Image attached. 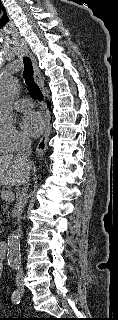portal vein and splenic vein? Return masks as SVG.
Listing matches in <instances>:
<instances>
[{
	"mask_svg": "<svg viewBox=\"0 0 118 320\" xmlns=\"http://www.w3.org/2000/svg\"><path fill=\"white\" fill-rule=\"evenodd\" d=\"M0 197H1V199L6 200V201L10 200L13 198V192L10 190H4L1 192Z\"/></svg>",
	"mask_w": 118,
	"mask_h": 320,
	"instance_id": "18ae733b",
	"label": "portal vein and splenic vein"
}]
</instances>
